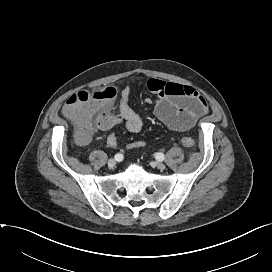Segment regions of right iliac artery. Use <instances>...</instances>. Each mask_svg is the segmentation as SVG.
Masks as SVG:
<instances>
[{
    "label": "right iliac artery",
    "mask_w": 272,
    "mask_h": 272,
    "mask_svg": "<svg viewBox=\"0 0 272 272\" xmlns=\"http://www.w3.org/2000/svg\"><path fill=\"white\" fill-rule=\"evenodd\" d=\"M115 160L120 162L123 160V155L120 154V153H117L115 156H114Z\"/></svg>",
    "instance_id": "1"
}]
</instances>
